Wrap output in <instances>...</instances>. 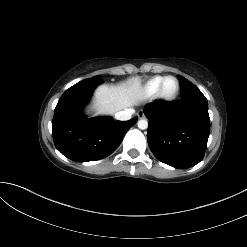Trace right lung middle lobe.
<instances>
[{"mask_svg": "<svg viewBox=\"0 0 247 247\" xmlns=\"http://www.w3.org/2000/svg\"><path fill=\"white\" fill-rule=\"evenodd\" d=\"M84 81H86V82H95V83H99V82H101L102 80L100 79V76H95V77L90 78V79H85Z\"/></svg>", "mask_w": 247, "mask_h": 247, "instance_id": "dd1d6c3e", "label": "right lung middle lobe"}]
</instances>
